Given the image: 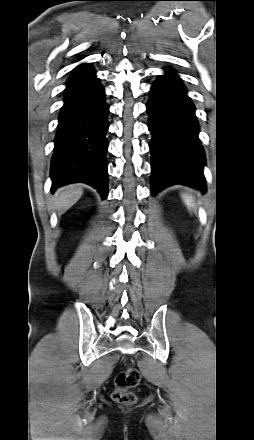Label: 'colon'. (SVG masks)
Masks as SVG:
<instances>
[{"instance_id": "1", "label": "colon", "mask_w": 254, "mask_h": 440, "mask_svg": "<svg viewBox=\"0 0 254 440\" xmlns=\"http://www.w3.org/2000/svg\"><path fill=\"white\" fill-rule=\"evenodd\" d=\"M140 381V373L134 367L119 372L115 377L113 399L121 404L131 405L136 401V395L131 391Z\"/></svg>"}]
</instances>
